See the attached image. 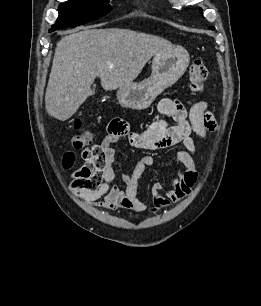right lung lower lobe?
<instances>
[{
	"mask_svg": "<svg viewBox=\"0 0 261 306\" xmlns=\"http://www.w3.org/2000/svg\"><path fill=\"white\" fill-rule=\"evenodd\" d=\"M56 29H54V28H51L50 30H49V32H53V31H55Z\"/></svg>",
	"mask_w": 261,
	"mask_h": 306,
	"instance_id": "right-lung-lower-lobe-1",
	"label": "right lung lower lobe"
}]
</instances>
